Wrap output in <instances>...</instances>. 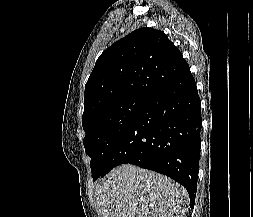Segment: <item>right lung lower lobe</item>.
<instances>
[{
  "mask_svg": "<svg viewBox=\"0 0 253 217\" xmlns=\"http://www.w3.org/2000/svg\"><path fill=\"white\" fill-rule=\"evenodd\" d=\"M201 126L200 98L187 64L174 79L148 98L116 143L100 177L125 163L150 169L182 184L193 208Z\"/></svg>",
  "mask_w": 253,
  "mask_h": 217,
  "instance_id": "right-lung-lower-lobe-1",
  "label": "right lung lower lobe"
}]
</instances>
